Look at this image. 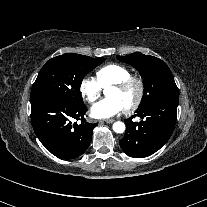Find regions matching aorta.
I'll list each match as a JSON object with an SVG mask.
<instances>
[{"label":"aorta","mask_w":207,"mask_h":207,"mask_svg":"<svg viewBox=\"0 0 207 207\" xmlns=\"http://www.w3.org/2000/svg\"><path fill=\"white\" fill-rule=\"evenodd\" d=\"M104 93L106 94V89L104 90ZM113 130L116 133H123L125 131V124L123 122L117 121L113 124Z\"/></svg>","instance_id":"1"}]
</instances>
